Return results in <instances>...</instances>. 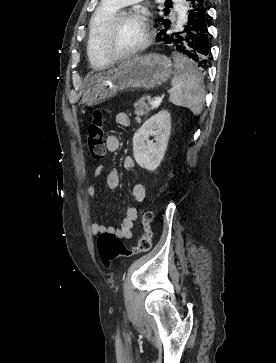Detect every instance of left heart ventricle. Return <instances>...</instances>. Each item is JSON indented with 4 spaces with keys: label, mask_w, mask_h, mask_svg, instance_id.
Here are the masks:
<instances>
[{
    "label": "left heart ventricle",
    "mask_w": 276,
    "mask_h": 363,
    "mask_svg": "<svg viewBox=\"0 0 276 363\" xmlns=\"http://www.w3.org/2000/svg\"><path fill=\"white\" fill-rule=\"evenodd\" d=\"M143 26L136 20L119 23L105 39L112 54H121L137 46L143 38Z\"/></svg>",
    "instance_id": "obj_1"
}]
</instances>
